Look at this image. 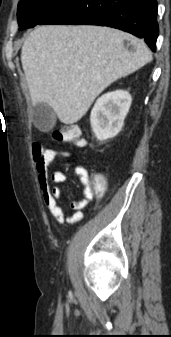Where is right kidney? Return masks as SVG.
Returning <instances> with one entry per match:
<instances>
[{
	"mask_svg": "<svg viewBox=\"0 0 171 337\" xmlns=\"http://www.w3.org/2000/svg\"><path fill=\"white\" fill-rule=\"evenodd\" d=\"M131 102V95L124 90L109 92L97 99L90 122L98 140L113 138L120 132Z\"/></svg>",
	"mask_w": 171,
	"mask_h": 337,
	"instance_id": "ca27d5eb",
	"label": "right kidney"
}]
</instances>
